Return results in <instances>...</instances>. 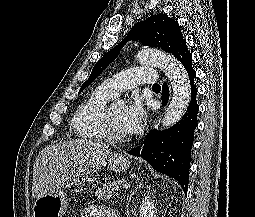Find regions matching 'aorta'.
Masks as SVG:
<instances>
[{
    "label": "aorta",
    "mask_w": 255,
    "mask_h": 217,
    "mask_svg": "<svg viewBox=\"0 0 255 217\" xmlns=\"http://www.w3.org/2000/svg\"><path fill=\"white\" fill-rule=\"evenodd\" d=\"M137 59L142 64L161 68L170 80L172 99L161 121L162 128H169L182 118L188 107L191 97L188 74L177 59L159 50H142L137 54Z\"/></svg>",
    "instance_id": "aorta-1"
}]
</instances>
